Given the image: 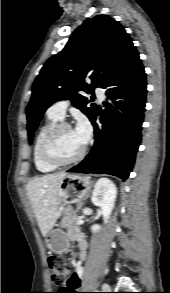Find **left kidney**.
Returning a JSON list of instances; mask_svg holds the SVG:
<instances>
[{"mask_svg":"<svg viewBox=\"0 0 170 293\" xmlns=\"http://www.w3.org/2000/svg\"><path fill=\"white\" fill-rule=\"evenodd\" d=\"M117 197V188L115 184L108 178H100L95 186L91 197V201L95 206L100 207L104 222L107 223L111 212L114 208ZM98 224L91 226L92 232L100 230Z\"/></svg>","mask_w":170,"mask_h":293,"instance_id":"1","label":"left kidney"}]
</instances>
